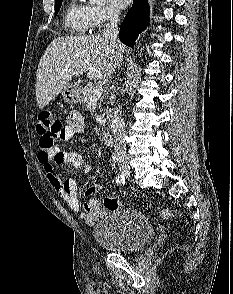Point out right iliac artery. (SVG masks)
<instances>
[{
	"mask_svg": "<svg viewBox=\"0 0 233 294\" xmlns=\"http://www.w3.org/2000/svg\"><path fill=\"white\" fill-rule=\"evenodd\" d=\"M115 181L119 185H124L125 184V177L122 174H118L115 178Z\"/></svg>",
	"mask_w": 233,
	"mask_h": 294,
	"instance_id": "82829eb1",
	"label": "right iliac artery"
}]
</instances>
